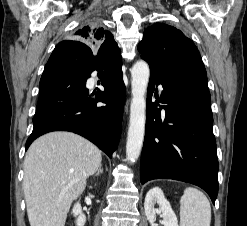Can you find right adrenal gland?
I'll return each mask as SVG.
<instances>
[{
  "label": "right adrenal gland",
  "mask_w": 247,
  "mask_h": 226,
  "mask_svg": "<svg viewBox=\"0 0 247 226\" xmlns=\"http://www.w3.org/2000/svg\"><path fill=\"white\" fill-rule=\"evenodd\" d=\"M103 172L102 166L100 165V167L98 168L97 172L95 173L96 176H98L100 173Z\"/></svg>",
  "instance_id": "right-adrenal-gland-1"
}]
</instances>
